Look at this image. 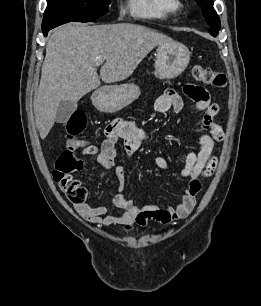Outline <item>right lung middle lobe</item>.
Instances as JSON below:
<instances>
[{
  "instance_id": "right-lung-middle-lobe-1",
  "label": "right lung middle lobe",
  "mask_w": 261,
  "mask_h": 306,
  "mask_svg": "<svg viewBox=\"0 0 261 306\" xmlns=\"http://www.w3.org/2000/svg\"><path fill=\"white\" fill-rule=\"evenodd\" d=\"M111 0H47L43 20L90 22L106 14Z\"/></svg>"
}]
</instances>
